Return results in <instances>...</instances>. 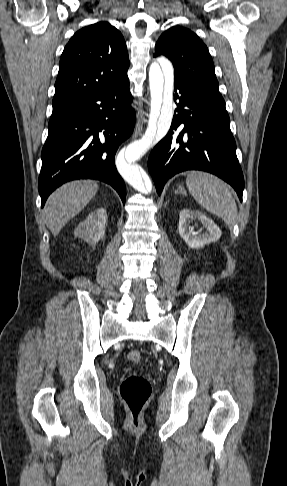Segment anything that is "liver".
<instances>
[{"label": "liver", "mask_w": 287, "mask_h": 486, "mask_svg": "<svg viewBox=\"0 0 287 486\" xmlns=\"http://www.w3.org/2000/svg\"><path fill=\"white\" fill-rule=\"evenodd\" d=\"M98 188L95 181L76 180L64 184L49 196L43 212L54 237L90 202Z\"/></svg>", "instance_id": "obj_1"}]
</instances>
